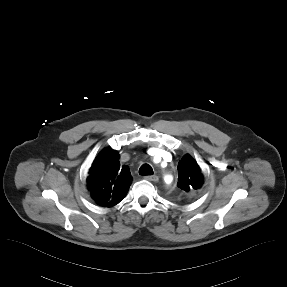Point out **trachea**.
I'll return each mask as SVG.
<instances>
[{"label":"trachea","mask_w":287,"mask_h":287,"mask_svg":"<svg viewBox=\"0 0 287 287\" xmlns=\"http://www.w3.org/2000/svg\"><path fill=\"white\" fill-rule=\"evenodd\" d=\"M139 174L144 176V175H152L153 174V169L149 164H143L140 169H139Z\"/></svg>","instance_id":"1"}]
</instances>
